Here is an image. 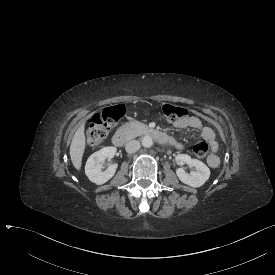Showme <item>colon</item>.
<instances>
[{
	"instance_id": "colon-1",
	"label": "colon",
	"mask_w": 275,
	"mask_h": 275,
	"mask_svg": "<svg viewBox=\"0 0 275 275\" xmlns=\"http://www.w3.org/2000/svg\"><path fill=\"white\" fill-rule=\"evenodd\" d=\"M124 112L122 104H114L96 113L86 128V139L89 146L99 147L106 138L110 127L120 121ZM187 114L186 108L166 103L162 106L161 111L156 112L154 116L159 121L175 122L185 118ZM193 151L198 158H204L208 154L209 144L206 141H200L194 145Z\"/></svg>"
}]
</instances>
